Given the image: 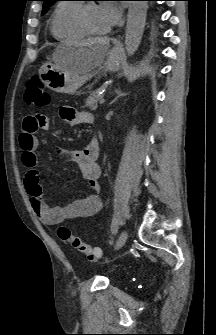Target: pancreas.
<instances>
[{
	"mask_svg": "<svg viewBox=\"0 0 216 335\" xmlns=\"http://www.w3.org/2000/svg\"><path fill=\"white\" fill-rule=\"evenodd\" d=\"M103 95H100V91L96 90L92 92L86 100V107L91 110H96L98 107V102L101 100Z\"/></svg>",
	"mask_w": 216,
	"mask_h": 335,
	"instance_id": "obj_1",
	"label": "pancreas"
}]
</instances>
